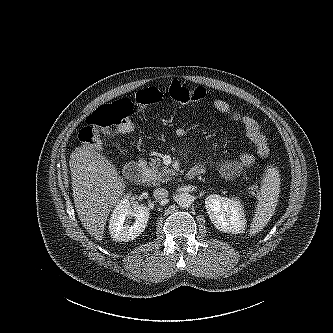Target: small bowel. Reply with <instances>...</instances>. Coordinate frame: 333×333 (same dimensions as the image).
Segmentation results:
<instances>
[{"mask_svg": "<svg viewBox=\"0 0 333 333\" xmlns=\"http://www.w3.org/2000/svg\"><path fill=\"white\" fill-rule=\"evenodd\" d=\"M213 108L219 113L227 115L233 121L242 124L245 134L256 149L259 159H266L269 156L268 140L263 133L259 123L252 117L235 110L231 104L223 99H215L212 102ZM178 137L186 134V129L179 126L175 130ZM256 158L250 153H242L237 159L220 160L217 164L222 176L227 179H233L239 176L244 170L250 169L255 165ZM204 171L202 164L197 165Z\"/></svg>", "mask_w": 333, "mask_h": 333, "instance_id": "1", "label": "small bowel"}]
</instances>
